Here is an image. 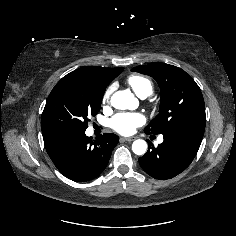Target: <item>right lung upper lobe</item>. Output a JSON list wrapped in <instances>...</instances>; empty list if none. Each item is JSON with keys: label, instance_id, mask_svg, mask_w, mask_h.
<instances>
[{"label": "right lung upper lobe", "instance_id": "obj_1", "mask_svg": "<svg viewBox=\"0 0 236 236\" xmlns=\"http://www.w3.org/2000/svg\"><path fill=\"white\" fill-rule=\"evenodd\" d=\"M123 70L121 68H102V67H82L67 74L65 77H75L82 82L97 84L99 86H108V84L117 77ZM45 147L49 146L57 138L43 136Z\"/></svg>", "mask_w": 236, "mask_h": 236}]
</instances>
